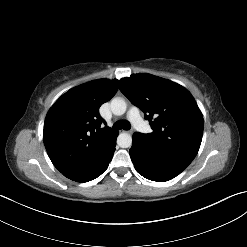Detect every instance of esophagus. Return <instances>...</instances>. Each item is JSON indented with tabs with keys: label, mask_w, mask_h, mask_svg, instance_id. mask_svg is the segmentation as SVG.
I'll return each mask as SVG.
<instances>
[{
	"label": "esophagus",
	"mask_w": 247,
	"mask_h": 247,
	"mask_svg": "<svg viewBox=\"0 0 247 247\" xmlns=\"http://www.w3.org/2000/svg\"><path fill=\"white\" fill-rule=\"evenodd\" d=\"M123 132L132 133V131H131V130H130V131H123Z\"/></svg>",
	"instance_id": "1"
}]
</instances>
